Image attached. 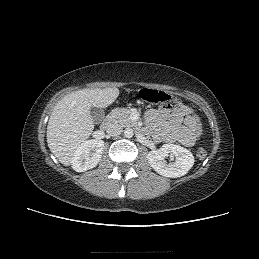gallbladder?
I'll list each match as a JSON object with an SVG mask.
<instances>
[{"label": "gallbladder", "mask_w": 259, "mask_h": 259, "mask_svg": "<svg viewBox=\"0 0 259 259\" xmlns=\"http://www.w3.org/2000/svg\"><path fill=\"white\" fill-rule=\"evenodd\" d=\"M90 114L92 117V120L95 124H100L104 117H105V112L102 108L99 107H91L90 108Z\"/></svg>", "instance_id": "obj_1"}]
</instances>
